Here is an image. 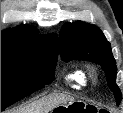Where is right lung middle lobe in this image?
Wrapping results in <instances>:
<instances>
[{
  "label": "right lung middle lobe",
  "mask_w": 123,
  "mask_h": 113,
  "mask_svg": "<svg viewBox=\"0 0 123 113\" xmlns=\"http://www.w3.org/2000/svg\"><path fill=\"white\" fill-rule=\"evenodd\" d=\"M56 56L44 45L1 46V111L54 80Z\"/></svg>",
  "instance_id": "dd1d6c3e"
}]
</instances>
